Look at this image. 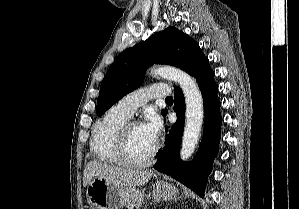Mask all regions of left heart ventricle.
Segmentation results:
<instances>
[{
  "label": "left heart ventricle",
  "instance_id": "1",
  "mask_svg": "<svg viewBox=\"0 0 299 209\" xmlns=\"http://www.w3.org/2000/svg\"><path fill=\"white\" fill-rule=\"evenodd\" d=\"M155 145L146 136L141 125H135L130 129L128 138V156L130 159L134 161L146 159Z\"/></svg>",
  "mask_w": 299,
  "mask_h": 209
}]
</instances>
